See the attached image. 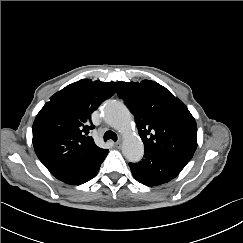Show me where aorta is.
<instances>
[{"label": "aorta", "instance_id": "obj_1", "mask_svg": "<svg viewBox=\"0 0 243 243\" xmlns=\"http://www.w3.org/2000/svg\"><path fill=\"white\" fill-rule=\"evenodd\" d=\"M105 121L117 130L122 138V153L130 162H138L144 154L142 140L135 132V125L129 109L120 101H108L103 108Z\"/></svg>", "mask_w": 243, "mask_h": 243}]
</instances>
